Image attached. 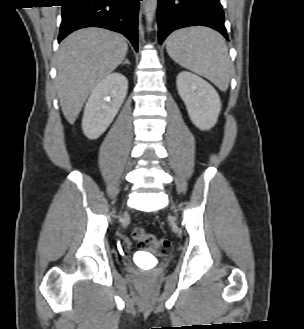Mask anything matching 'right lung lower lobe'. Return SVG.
I'll use <instances>...</instances> for the list:
<instances>
[{
    "instance_id": "98d812e1",
    "label": "right lung lower lobe",
    "mask_w": 304,
    "mask_h": 329,
    "mask_svg": "<svg viewBox=\"0 0 304 329\" xmlns=\"http://www.w3.org/2000/svg\"><path fill=\"white\" fill-rule=\"evenodd\" d=\"M58 42L84 27H102L125 35L138 51V6L142 0H64Z\"/></svg>"
}]
</instances>
